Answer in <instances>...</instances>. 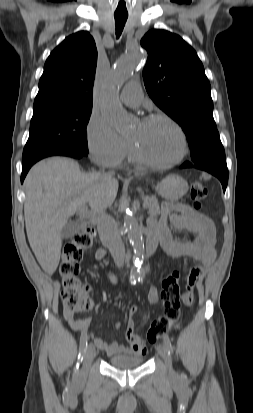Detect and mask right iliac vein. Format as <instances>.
<instances>
[{"mask_svg": "<svg viewBox=\"0 0 253 413\" xmlns=\"http://www.w3.org/2000/svg\"><path fill=\"white\" fill-rule=\"evenodd\" d=\"M95 357V348L93 344H89L88 347L86 348L85 351V356H84V363H83V369L79 375V380L82 381L86 378L87 370L89 366L91 365L93 359Z\"/></svg>", "mask_w": 253, "mask_h": 413, "instance_id": "right-iliac-vein-1", "label": "right iliac vein"}]
</instances>
